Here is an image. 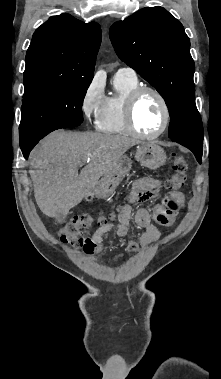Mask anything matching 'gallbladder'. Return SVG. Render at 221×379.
I'll return each mask as SVG.
<instances>
[{"instance_id": "bac80fb5", "label": "gallbladder", "mask_w": 221, "mask_h": 379, "mask_svg": "<svg viewBox=\"0 0 221 379\" xmlns=\"http://www.w3.org/2000/svg\"><path fill=\"white\" fill-rule=\"evenodd\" d=\"M55 218H56V221L59 222V223H62L65 220V217L62 214H60V213H58Z\"/></svg>"}]
</instances>
